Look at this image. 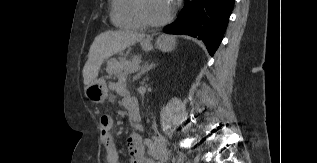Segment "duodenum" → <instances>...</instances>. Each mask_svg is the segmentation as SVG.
<instances>
[{
    "label": "duodenum",
    "instance_id": "410a0bca",
    "mask_svg": "<svg viewBox=\"0 0 317 163\" xmlns=\"http://www.w3.org/2000/svg\"><path fill=\"white\" fill-rule=\"evenodd\" d=\"M130 120L132 124L134 125V127H137L140 122V114H134V113L130 114Z\"/></svg>",
    "mask_w": 317,
    "mask_h": 163
}]
</instances>
